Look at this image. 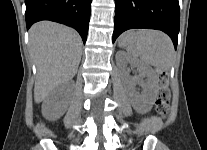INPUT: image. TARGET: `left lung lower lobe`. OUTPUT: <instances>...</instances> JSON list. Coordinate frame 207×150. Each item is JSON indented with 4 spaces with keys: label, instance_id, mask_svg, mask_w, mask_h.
<instances>
[{
    "label": "left lung lower lobe",
    "instance_id": "obj_1",
    "mask_svg": "<svg viewBox=\"0 0 207 150\" xmlns=\"http://www.w3.org/2000/svg\"><path fill=\"white\" fill-rule=\"evenodd\" d=\"M179 24L178 0H115L113 42L128 29L150 28L167 33L176 49Z\"/></svg>",
    "mask_w": 207,
    "mask_h": 150
}]
</instances>
